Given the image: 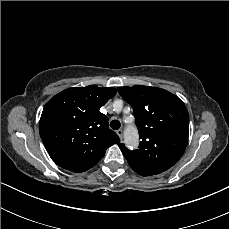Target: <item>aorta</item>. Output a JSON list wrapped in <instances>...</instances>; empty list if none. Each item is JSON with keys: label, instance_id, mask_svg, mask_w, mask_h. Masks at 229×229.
<instances>
[{"label": "aorta", "instance_id": "aorta-1", "mask_svg": "<svg viewBox=\"0 0 229 229\" xmlns=\"http://www.w3.org/2000/svg\"><path fill=\"white\" fill-rule=\"evenodd\" d=\"M125 141L127 145L136 147L138 145V133L135 128L128 127L125 131Z\"/></svg>", "mask_w": 229, "mask_h": 229}]
</instances>
